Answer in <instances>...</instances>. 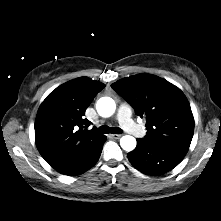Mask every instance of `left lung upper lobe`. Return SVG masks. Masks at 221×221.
<instances>
[{
  "mask_svg": "<svg viewBox=\"0 0 221 221\" xmlns=\"http://www.w3.org/2000/svg\"><path fill=\"white\" fill-rule=\"evenodd\" d=\"M111 87L146 120L147 134L141 141L188 151L194 132V118L183 92L151 74H137Z\"/></svg>",
  "mask_w": 221,
  "mask_h": 221,
  "instance_id": "left-lung-upper-lobe-1",
  "label": "left lung upper lobe"
}]
</instances>
